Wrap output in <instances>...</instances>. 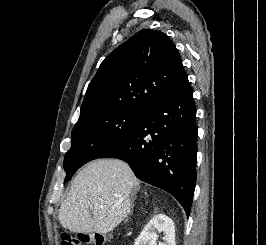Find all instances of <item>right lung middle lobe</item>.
Masks as SVG:
<instances>
[{
	"label": "right lung middle lobe",
	"mask_w": 266,
	"mask_h": 245,
	"mask_svg": "<svg viewBox=\"0 0 266 245\" xmlns=\"http://www.w3.org/2000/svg\"><path fill=\"white\" fill-rule=\"evenodd\" d=\"M145 110L106 108L79 118L72 130L71 148L64 158L69 181L85 163L122 143L136 128Z\"/></svg>",
	"instance_id": "obj_1"
}]
</instances>
